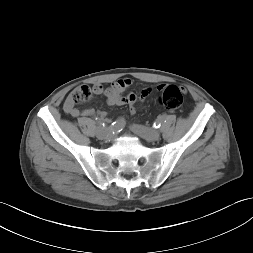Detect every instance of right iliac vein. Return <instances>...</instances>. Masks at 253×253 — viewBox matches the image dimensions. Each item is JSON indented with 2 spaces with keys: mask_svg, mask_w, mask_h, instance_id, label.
Here are the masks:
<instances>
[{
  "mask_svg": "<svg viewBox=\"0 0 253 253\" xmlns=\"http://www.w3.org/2000/svg\"><path fill=\"white\" fill-rule=\"evenodd\" d=\"M110 130L108 128H99L97 130V137L101 140L107 139L109 136Z\"/></svg>",
  "mask_w": 253,
  "mask_h": 253,
  "instance_id": "obj_1",
  "label": "right iliac vein"
}]
</instances>
